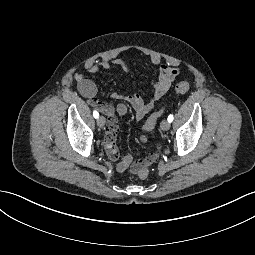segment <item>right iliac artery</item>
I'll return each mask as SVG.
<instances>
[{"mask_svg": "<svg viewBox=\"0 0 255 255\" xmlns=\"http://www.w3.org/2000/svg\"><path fill=\"white\" fill-rule=\"evenodd\" d=\"M93 116H94L95 118H98L99 114H98V112H97L96 110L93 112Z\"/></svg>", "mask_w": 255, "mask_h": 255, "instance_id": "1", "label": "right iliac artery"}]
</instances>
